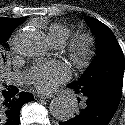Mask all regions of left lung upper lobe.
Here are the masks:
<instances>
[{
	"instance_id": "5c2ea615",
	"label": "left lung upper lobe",
	"mask_w": 125,
	"mask_h": 125,
	"mask_svg": "<svg viewBox=\"0 0 125 125\" xmlns=\"http://www.w3.org/2000/svg\"><path fill=\"white\" fill-rule=\"evenodd\" d=\"M96 34L97 55L85 73L69 86L81 96L116 91L122 93L124 55L109 27L99 20L85 16Z\"/></svg>"
}]
</instances>
